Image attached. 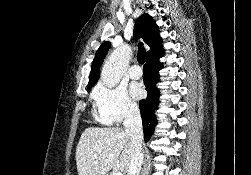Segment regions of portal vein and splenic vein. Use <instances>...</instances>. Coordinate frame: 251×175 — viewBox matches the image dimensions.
<instances>
[{"instance_id": "1", "label": "portal vein and splenic vein", "mask_w": 251, "mask_h": 175, "mask_svg": "<svg viewBox=\"0 0 251 175\" xmlns=\"http://www.w3.org/2000/svg\"><path fill=\"white\" fill-rule=\"evenodd\" d=\"M111 175H123L122 171H120V169H116V171H113V173H111Z\"/></svg>"}]
</instances>
